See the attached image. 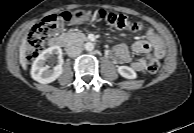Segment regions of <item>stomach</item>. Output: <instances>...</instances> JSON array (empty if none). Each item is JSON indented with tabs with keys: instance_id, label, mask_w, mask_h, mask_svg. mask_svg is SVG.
<instances>
[{
	"instance_id": "0dacf381",
	"label": "stomach",
	"mask_w": 194,
	"mask_h": 133,
	"mask_svg": "<svg viewBox=\"0 0 194 133\" xmlns=\"http://www.w3.org/2000/svg\"><path fill=\"white\" fill-rule=\"evenodd\" d=\"M90 19V13L82 10L76 11L73 15V23H83Z\"/></svg>"
}]
</instances>
